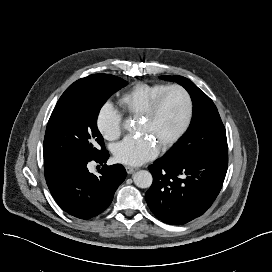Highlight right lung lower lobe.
<instances>
[{
  "instance_id": "obj_1",
  "label": "right lung lower lobe",
  "mask_w": 272,
  "mask_h": 272,
  "mask_svg": "<svg viewBox=\"0 0 272 272\" xmlns=\"http://www.w3.org/2000/svg\"><path fill=\"white\" fill-rule=\"evenodd\" d=\"M108 151L92 158L72 155L44 156L45 178L58 205L68 214L90 219L110 205L118 186L124 181L126 171L121 164L103 166L96 176L89 172L90 161L106 163Z\"/></svg>"
}]
</instances>
